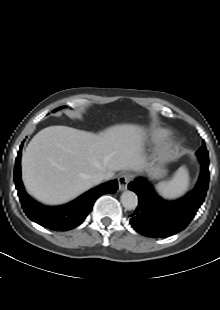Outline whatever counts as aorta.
Wrapping results in <instances>:
<instances>
[{"label": "aorta", "mask_w": 220, "mask_h": 310, "mask_svg": "<svg viewBox=\"0 0 220 310\" xmlns=\"http://www.w3.org/2000/svg\"><path fill=\"white\" fill-rule=\"evenodd\" d=\"M121 203L125 209L133 210L138 205V197L132 191H125L121 195Z\"/></svg>", "instance_id": "aorta-1"}]
</instances>
